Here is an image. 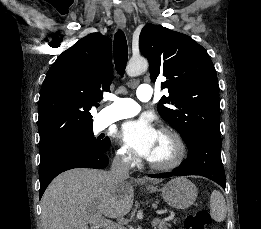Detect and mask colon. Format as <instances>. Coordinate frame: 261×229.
<instances>
[{
	"instance_id": "5ec220e1",
	"label": "colon",
	"mask_w": 261,
	"mask_h": 229,
	"mask_svg": "<svg viewBox=\"0 0 261 229\" xmlns=\"http://www.w3.org/2000/svg\"><path fill=\"white\" fill-rule=\"evenodd\" d=\"M211 218L205 209L197 210L185 218L184 229H209Z\"/></svg>"
}]
</instances>
